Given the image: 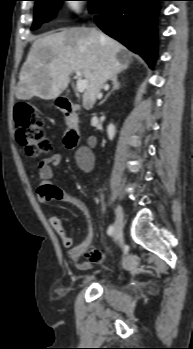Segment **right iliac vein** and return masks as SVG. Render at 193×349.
<instances>
[{"instance_id":"obj_1","label":"right iliac vein","mask_w":193,"mask_h":349,"mask_svg":"<svg viewBox=\"0 0 193 349\" xmlns=\"http://www.w3.org/2000/svg\"><path fill=\"white\" fill-rule=\"evenodd\" d=\"M123 208L121 205H118L116 209V225L114 228V241H118L122 237V230H123Z\"/></svg>"}]
</instances>
